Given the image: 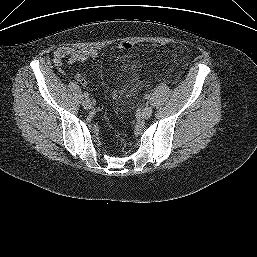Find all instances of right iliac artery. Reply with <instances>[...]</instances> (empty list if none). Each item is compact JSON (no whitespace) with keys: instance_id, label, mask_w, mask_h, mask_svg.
Here are the masks:
<instances>
[{"instance_id":"obj_1","label":"right iliac artery","mask_w":257,"mask_h":257,"mask_svg":"<svg viewBox=\"0 0 257 257\" xmlns=\"http://www.w3.org/2000/svg\"><path fill=\"white\" fill-rule=\"evenodd\" d=\"M84 97L86 98V99H89V93L88 92H84Z\"/></svg>"}]
</instances>
